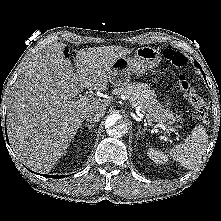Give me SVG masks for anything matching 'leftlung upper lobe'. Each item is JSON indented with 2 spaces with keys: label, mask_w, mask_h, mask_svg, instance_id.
<instances>
[{
  "label": "left lung upper lobe",
  "mask_w": 221,
  "mask_h": 221,
  "mask_svg": "<svg viewBox=\"0 0 221 221\" xmlns=\"http://www.w3.org/2000/svg\"><path fill=\"white\" fill-rule=\"evenodd\" d=\"M195 65H196L197 67H200L199 63H197V62H195Z\"/></svg>",
  "instance_id": "obj_1"
}]
</instances>
